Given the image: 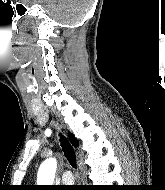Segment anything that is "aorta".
<instances>
[{
	"label": "aorta",
	"mask_w": 165,
	"mask_h": 190,
	"mask_svg": "<svg viewBox=\"0 0 165 190\" xmlns=\"http://www.w3.org/2000/svg\"><path fill=\"white\" fill-rule=\"evenodd\" d=\"M56 168V159L50 158L45 160L39 169L38 182L45 185H51L54 180Z\"/></svg>",
	"instance_id": "762f6f07"
}]
</instances>
